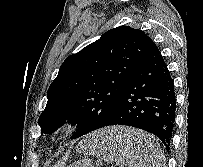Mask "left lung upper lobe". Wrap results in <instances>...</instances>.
I'll return each mask as SVG.
<instances>
[{
	"label": "left lung upper lobe",
	"mask_w": 203,
	"mask_h": 167,
	"mask_svg": "<svg viewBox=\"0 0 203 167\" xmlns=\"http://www.w3.org/2000/svg\"><path fill=\"white\" fill-rule=\"evenodd\" d=\"M141 30L119 26L62 63L48 89L38 124L50 134L65 120H76L78 138L99 129L116 111L120 95L136 68L155 49Z\"/></svg>",
	"instance_id": "5c2ea615"
}]
</instances>
